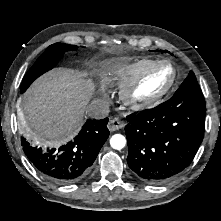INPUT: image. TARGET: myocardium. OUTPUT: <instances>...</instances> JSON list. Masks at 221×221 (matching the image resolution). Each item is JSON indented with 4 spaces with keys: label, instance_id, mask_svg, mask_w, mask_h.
<instances>
[{
    "label": "myocardium",
    "instance_id": "1",
    "mask_svg": "<svg viewBox=\"0 0 221 221\" xmlns=\"http://www.w3.org/2000/svg\"><path fill=\"white\" fill-rule=\"evenodd\" d=\"M158 68L169 72L166 83L155 92L146 96H140L138 94L139 87ZM176 79L177 71L172 64L167 61H154L123 87L121 91L122 100L132 110L141 111L149 109L157 105L170 92Z\"/></svg>",
    "mask_w": 221,
    "mask_h": 221
}]
</instances>
